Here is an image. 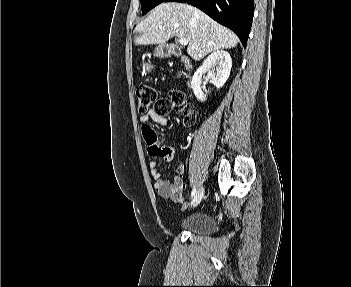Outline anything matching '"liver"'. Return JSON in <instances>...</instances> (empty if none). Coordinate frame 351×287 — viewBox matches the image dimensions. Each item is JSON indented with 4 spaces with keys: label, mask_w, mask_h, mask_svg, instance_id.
<instances>
[{
    "label": "liver",
    "mask_w": 351,
    "mask_h": 287,
    "mask_svg": "<svg viewBox=\"0 0 351 287\" xmlns=\"http://www.w3.org/2000/svg\"><path fill=\"white\" fill-rule=\"evenodd\" d=\"M135 45L164 44L171 37L186 38L195 60L219 49H230L239 38L205 13L188 4L168 2L155 7L135 28Z\"/></svg>",
    "instance_id": "liver-1"
}]
</instances>
